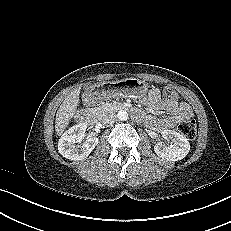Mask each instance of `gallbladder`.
I'll use <instances>...</instances> for the list:
<instances>
[{
	"instance_id": "bac80fb5",
	"label": "gallbladder",
	"mask_w": 231,
	"mask_h": 231,
	"mask_svg": "<svg viewBox=\"0 0 231 231\" xmlns=\"http://www.w3.org/2000/svg\"><path fill=\"white\" fill-rule=\"evenodd\" d=\"M92 86L91 85H86L84 86L85 93L91 91Z\"/></svg>"
}]
</instances>
